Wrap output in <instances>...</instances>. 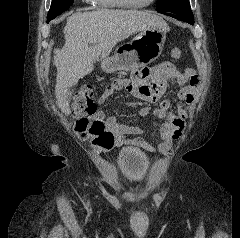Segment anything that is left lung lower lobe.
Masks as SVG:
<instances>
[{
  "label": "left lung lower lobe",
  "instance_id": "1",
  "mask_svg": "<svg viewBox=\"0 0 240 238\" xmlns=\"http://www.w3.org/2000/svg\"><path fill=\"white\" fill-rule=\"evenodd\" d=\"M166 15H169L173 18H176L178 20H181V21H184V22H187L189 24H194V18H186V17H183V16H179V15H175V14H170V13H166Z\"/></svg>",
  "mask_w": 240,
  "mask_h": 238
}]
</instances>
